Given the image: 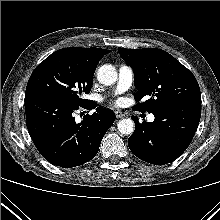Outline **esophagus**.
Wrapping results in <instances>:
<instances>
[{"instance_id": "34e87169", "label": "esophagus", "mask_w": 220, "mask_h": 220, "mask_svg": "<svg viewBox=\"0 0 220 220\" xmlns=\"http://www.w3.org/2000/svg\"><path fill=\"white\" fill-rule=\"evenodd\" d=\"M115 114H116L117 118H122V117L125 116V114L123 112H121V111H116Z\"/></svg>"}]
</instances>
